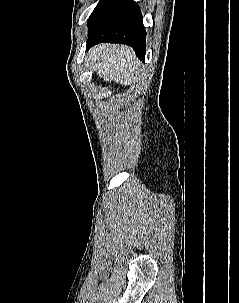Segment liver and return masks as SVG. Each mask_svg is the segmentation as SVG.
Returning a JSON list of instances; mask_svg holds the SVG:
<instances>
[{"instance_id": "liver-1", "label": "liver", "mask_w": 239, "mask_h": 303, "mask_svg": "<svg viewBox=\"0 0 239 303\" xmlns=\"http://www.w3.org/2000/svg\"><path fill=\"white\" fill-rule=\"evenodd\" d=\"M89 60L94 71L104 81H116L130 85L135 81L134 73L140 63L133 50L125 45L101 44L89 51Z\"/></svg>"}]
</instances>
